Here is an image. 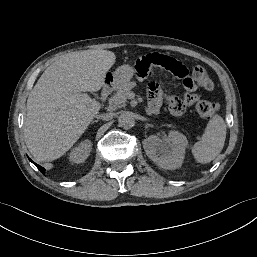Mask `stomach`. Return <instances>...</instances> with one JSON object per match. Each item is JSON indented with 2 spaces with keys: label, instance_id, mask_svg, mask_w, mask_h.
<instances>
[{
  "label": "stomach",
  "instance_id": "obj_1",
  "mask_svg": "<svg viewBox=\"0 0 257 257\" xmlns=\"http://www.w3.org/2000/svg\"><path fill=\"white\" fill-rule=\"evenodd\" d=\"M134 69L130 65L119 66L112 73V83L120 86L126 82H129L133 77Z\"/></svg>",
  "mask_w": 257,
  "mask_h": 257
}]
</instances>
